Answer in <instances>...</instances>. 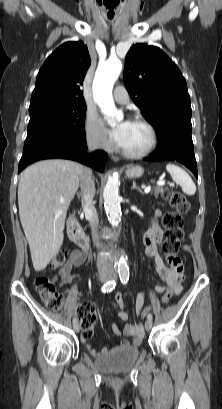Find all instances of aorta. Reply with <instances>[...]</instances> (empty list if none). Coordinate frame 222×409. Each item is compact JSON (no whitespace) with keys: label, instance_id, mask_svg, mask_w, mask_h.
Masks as SVG:
<instances>
[{"label":"aorta","instance_id":"aorta-1","mask_svg":"<svg viewBox=\"0 0 222 409\" xmlns=\"http://www.w3.org/2000/svg\"><path fill=\"white\" fill-rule=\"evenodd\" d=\"M121 70L122 63L120 60L109 59L97 68L93 81L94 101L98 104L104 115L112 118L113 123L119 118L120 114L113 101L112 89ZM103 197L109 221L112 224H117L121 218L119 180L117 175L109 176L103 191ZM118 266L121 271L127 270V263L124 257L120 259Z\"/></svg>","mask_w":222,"mask_h":409}]
</instances>
